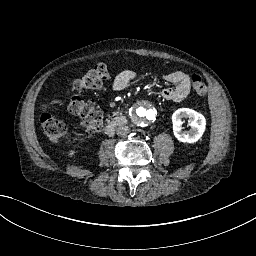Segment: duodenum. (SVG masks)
<instances>
[{
  "instance_id": "duodenum-1",
  "label": "duodenum",
  "mask_w": 256,
  "mask_h": 256,
  "mask_svg": "<svg viewBox=\"0 0 256 256\" xmlns=\"http://www.w3.org/2000/svg\"><path fill=\"white\" fill-rule=\"evenodd\" d=\"M127 123V118L126 117H117L112 119L110 122H108L104 129H103V133L106 136H110L114 133L115 129L119 126H123Z\"/></svg>"
}]
</instances>
